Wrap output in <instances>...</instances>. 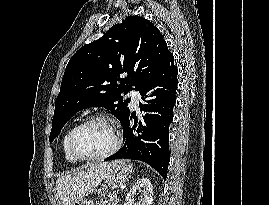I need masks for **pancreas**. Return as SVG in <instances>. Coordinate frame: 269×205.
<instances>
[{
  "label": "pancreas",
  "instance_id": "1",
  "mask_svg": "<svg viewBox=\"0 0 269 205\" xmlns=\"http://www.w3.org/2000/svg\"><path fill=\"white\" fill-rule=\"evenodd\" d=\"M99 205H118V198L112 195L107 201L101 202Z\"/></svg>",
  "mask_w": 269,
  "mask_h": 205
}]
</instances>
